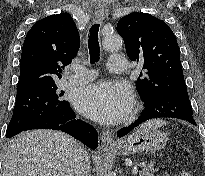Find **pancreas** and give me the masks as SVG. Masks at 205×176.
I'll use <instances>...</instances> for the list:
<instances>
[{"label": "pancreas", "mask_w": 205, "mask_h": 176, "mask_svg": "<svg viewBox=\"0 0 205 176\" xmlns=\"http://www.w3.org/2000/svg\"><path fill=\"white\" fill-rule=\"evenodd\" d=\"M157 170H158L157 168H154V164L150 163L147 166H144L139 176H153V173L156 172Z\"/></svg>", "instance_id": "pancreas-1"}]
</instances>
